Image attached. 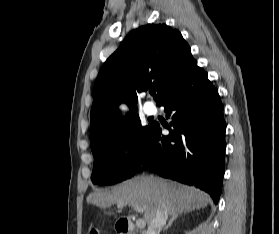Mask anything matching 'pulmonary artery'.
I'll return each mask as SVG.
<instances>
[{
    "label": "pulmonary artery",
    "instance_id": "pulmonary-artery-1",
    "mask_svg": "<svg viewBox=\"0 0 279 234\" xmlns=\"http://www.w3.org/2000/svg\"><path fill=\"white\" fill-rule=\"evenodd\" d=\"M144 111L147 115H153L156 113L157 109L152 102L147 101L144 104Z\"/></svg>",
    "mask_w": 279,
    "mask_h": 234
}]
</instances>
